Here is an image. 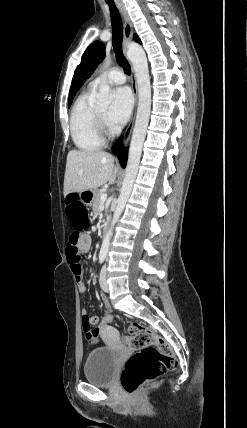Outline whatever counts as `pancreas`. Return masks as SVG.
Masks as SVG:
<instances>
[{"mask_svg":"<svg viewBox=\"0 0 247 428\" xmlns=\"http://www.w3.org/2000/svg\"><path fill=\"white\" fill-rule=\"evenodd\" d=\"M104 193L105 192L103 190H101V189L96 190L95 199H94V202L92 204L93 212L95 214H98V212H99V205L101 204V195L104 194Z\"/></svg>","mask_w":247,"mask_h":428,"instance_id":"pancreas-1","label":"pancreas"}]
</instances>
